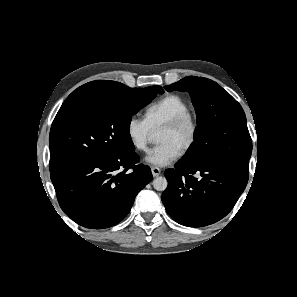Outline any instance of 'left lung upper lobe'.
<instances>
[{
    "label": "left lung upper lobe",
    "instance_id": "5c2ea615",
    "mask_svg": "<svg viewBox=\"0 0 297 297\" xmlns=\"http://www.w3.org/2000/svg\"><path fill=\"white\" fill-rule=\"evenodd\" d=\"M164 88L189 92L197 115L194 142L179 162H218L248 172L252 143L241 105L219 84L203 77L188 76Z\"/></svg>",
    "mask_w": 297,
    "mask_h": 297
}]
</instances>
